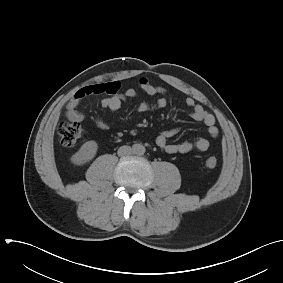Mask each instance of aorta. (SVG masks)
Masks as SVG:
<instances>
[{
    "instance_id": "762f6f07",
    "label": "aorta",
    "mask_w": 283,
    "mask_h": 283,
    "mask_svg": "<svg viewBox=\"0 0 283 283\" xmlns=\"http://www.w3.org/2000/svg\"><path fill=\"white\" fill-rule=\"evenodd\" d=\"M134 152L135 154L142 155L145 153V147L141 144H136L134 146Z\"/></svg>"
}]
</instances>
